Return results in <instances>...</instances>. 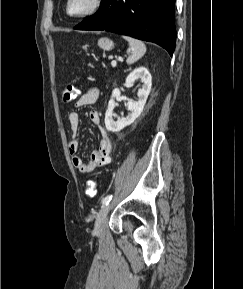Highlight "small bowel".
I'll return each mask as SVG.
<instances>
[{
  "mask_svg": "<svg viewBox=\"0 0 243 289\" xmlns=\"http://www.w3.org/2000/svg\"><path fill=\"white\" fill-rule=\"evenodd\" d=\"M99 96L97 88L92 87L87 90L86 93L82 94L77 100L75 107H83L87 105L94 104ZM90 121L98 127L99 131V143L98 146L92 151L90 159L84 161L81 157L77 155L79 149V141L76 138L77 132L79 130L80 119L76 111H71L68 114L69 126L71 131V139L69 141L68 149L72 156V164L81 173H89L94 171L100 166L108 164L111 160V141L109 135L105 128L100 124V116L96 110H91L89 112Z\"/></svg>",
  "mask_w": 243,
  "mask_h": 289,
  "instance_id": "obj_1",
  "label": "small bowel"
}]
</instances>
